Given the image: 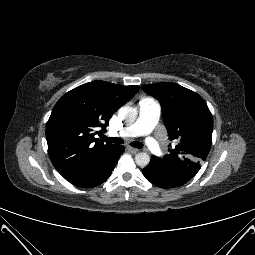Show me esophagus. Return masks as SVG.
I'll use <instances>...</instances> for the list:
<instances>
[{
  "instance_id": "1",
  "label": "esophagus",
  "mask_w": 255,
  "mask_h": 255,
  "mask_svg": "<svg viewBox=\"0 0 255 255\" xmlns=\"http://www.w3.org/2000/svg\"><path fill=\"white\" fill-rule=\"evenodd\" d=\"M127 149H128V151H130L131 153H137V152H139V149H137V148L128 147Z\"/></svg>"
}]
</instances>
